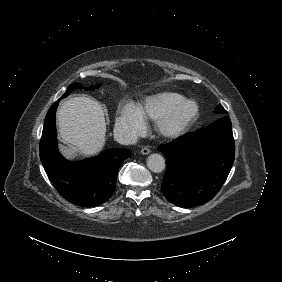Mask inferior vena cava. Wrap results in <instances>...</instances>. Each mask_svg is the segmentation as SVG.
Here are the masks:
<instances>
[{
	"mask_svg": "<svg viewBox=\"0 0 282 282\" xmlns=\"http://www.w3.org/2000/svg\"><path fill=\"white\" fill-rule=\"evenodd\" d=\"M114 140L122 145H129L136 143L137 136L129 129L118 123L115 125L114 130Z\"/></svg>",
	"mask_w": 282,
	"mask_h": 282,
	"instance_id": "1",
	"label": "inferior vena cava"
}]
</instances>
